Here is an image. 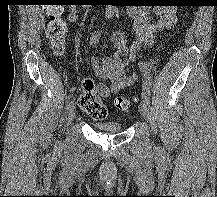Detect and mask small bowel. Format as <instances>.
<instances>
[{
    "label": "small bowel",
    "instance_id": "c3829d8e",
    "mask_svg": "<svg viewBox=\"0 0 217 197\" xmlns=\"http://www.w3.org/2000/svg\"><path fill=\"white\" fill-rule=\"evenodd\" d=\"M129 13L135 21L134 27L138 35L133 46L129 48L123 34L116 32L112 34L110 39L114 49L113 54L106 55L102 63L99 62L97 57H91V65L96 75L111 82L110 90L104 97H107L110 92L117 93L130 87L137 81L138 76L135 72L128 73V68L134 63L136 50L141 46L151 47L159 32L168 31L175 24V8L172 5H161L154 9V14L157 16L156 22L149 20V11L145 8H130ZM78 18V8L71 6L68 20L76 22ZM100 41L101 35L99 32H93L90 35V45L92 47H97Z\"/></svg>",
    "mask_w": 217,
    "mask_h": 197
}]
</instances>
